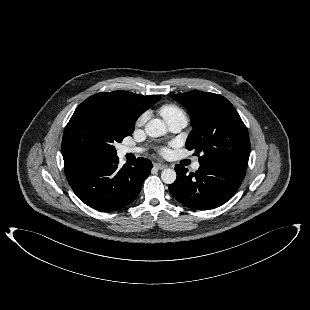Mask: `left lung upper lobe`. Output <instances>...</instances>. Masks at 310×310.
<instances>
[{
    "label": "left lung upper lobe",
    "mask_w": 310,
    "mask_h": 310,
    "mask_svg": "<svg viewBox=\"0 0 310 310\" xmlns=\"http://www.w3.org/2000/svg\"><path fill=\"white\" fill-rule=\"evenodd\" d=\"M171 97L190 113L193 129L186 148L201 154L200 164L225 163L246 168L250 155L248 130L225 97L200 91Z\"/></svg>",
    "instance_id": "obj_1"
}]
</instances>
